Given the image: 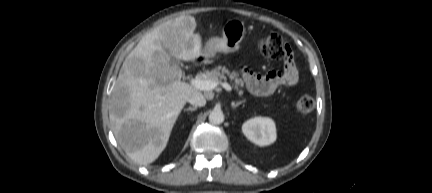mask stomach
Listing matches in <instances>:
<instances>
[{"label": "stomach", "mask_w": 432, "mask_h": 193, "mask_svg": "<svg viewBox=\"0 0 432 193\" xmlns=\"http://www.w3.org/2000/svg\"><path fill=\"white\" fill-rule=\"evenodd\" d=\"M244 24L236 19L229 20L223 27L222 37L209 39L202 49V56L210 58L216 53H230L239 49L245 36Z\"/></svg>", "instance_id": "1"}]
</instances>
